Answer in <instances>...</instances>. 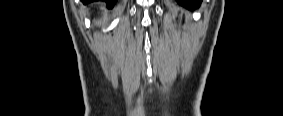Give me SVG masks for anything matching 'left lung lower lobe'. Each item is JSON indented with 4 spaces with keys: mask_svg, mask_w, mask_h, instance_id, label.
<instances>
[{
    "mask_svg": "<svg viewBox=\"0 0 283 116\" xmlns=\"http://www.w3.org/2000/svg\"><path fill=\"white\" fill-rule=\"evenodd\" d=\"M178 4L185 6L189 9L198 6L201 0H177Z\"/></svg>",
    "mask_w": 283,
    "mask_h": 116,
    "instance_id": "left-lung-lower-lobe-1",
    "label": "left lung lower lobe"
}]
</instances>
